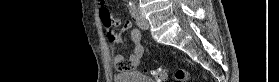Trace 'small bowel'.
<instances>
[{
  "instance_id": "small-bowel-1",
  "label": "small bowel",
  "mask_w": 279,
  "mask_h": 82,
  "mask_svg": "<svg viewBox=\"0 0 279 82\" xmlns=\"http://www.w3.org/2000/svg\"><path fill=\"white\" fill-rule=\"evenodd\" d=\"M114 27L121 28L122 31L131 30L130 36L133 43V53L129 56L128 59H125L122 54H116L114 56V63L118 72L131 71L137 68L141 59L144 55V47L141 42V34L138 29H132V22L127 20L125 22H120L119 20L114 21ZM121 32L116 31L115 29H107L106 35L110 41L120 42Z\"/></svg>"
}]
</instances>
